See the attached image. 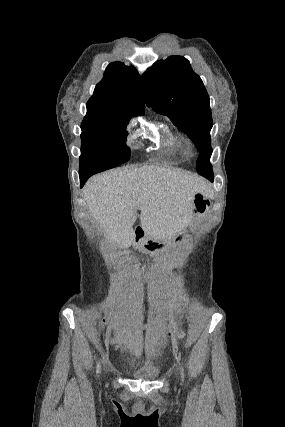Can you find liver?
I'll list each match as a JSON object with an SVG mask.
<instances>
[{
	"label": "liver",
	"mask_w": 285,
	"mask_h": 427,
	"mask_svg": "<svg viewBox=\"0 0 285 427\" xmlns=\"http://www.w3.org/2000/svg\"><path fill=\"white\" fill-rule=\"evenodd\" d=\"M210 192L203 178L157 165L98 174L83 190L87 207L104 236L120 248L134 239L137 210L141 211L145 233L169 239L190 223L194 195Z\"/></svg>",
	"instance_id": "obj_1"
}]
</instances>
